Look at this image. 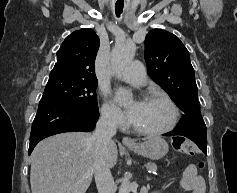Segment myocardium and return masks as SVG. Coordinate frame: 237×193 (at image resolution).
<instances>
[{"label": "myocardium", "instance_id": "myocardium-1", "mask_svg": "<svg viewBox=\"0 0 237 193\" xmlns=\"http://www.w3.org/2000/svg\"><path fill=\"white\" fill-rule=\"evenodd\" d=\"M154 99L162 100V101L166 102L168 104V106L170 107L172 116H171V120H170L169 124L162 129L148 130V129L140 128V127L134 125L133 123H131L132 129L135 132L142 134V135H146V136H160V135L169 133L176 127V125L179 121V116H180L179 108L176 105V103L168 95H166L164 93H160V92L149 93L144 97V101L145 100H154Z\"/></svg>", "mask_w": 237, "mask_h": 193}]
</instances>
